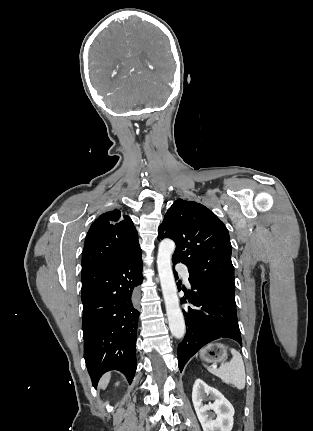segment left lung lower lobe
<instances>
[{"mask_svg":"<svg viewBox=\"0 0 313 431\" xmlns=\"http://www.w3.org/2000/svg\"><path fill=\"white\" fill-rule=\"evenodd\" d=\"M176 262H173L175 265ZM177 278V273L174 272ZM194 307L183 310L187 332L178 346V365L182 372L187 361L204 345L219 338H231L242 344L236 313L235 295L227 291L191 283ZM182 302L186 303L183 297Z\"/></svg>","mask_w":313,"mask_h":431,"instance_id":"obj_1","label":"left lung lower lobe"}]
</instances>
